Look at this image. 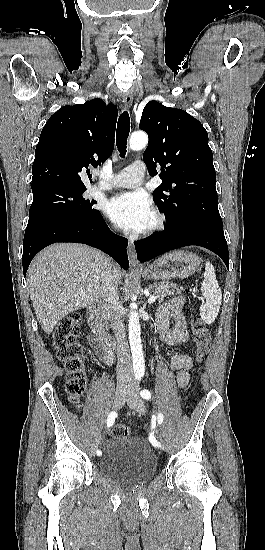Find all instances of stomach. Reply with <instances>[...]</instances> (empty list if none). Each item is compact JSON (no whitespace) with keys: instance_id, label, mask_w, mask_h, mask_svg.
I'll return each instance as SVG.
<instances>
[{"instance_id":"1","label":"stomach","mask_w":265,"mask_h":550,"mask_svg":"<svg viewBox=\"0 0 265 550\" xmlns=\"http://www.w3.org/2000/svg\"><path fill=\"white\" fill-rule=\"evenodd\" d=\"M200 259L188 251H173L159 257L145 267L140 274L146 279L168 280L172 278L185 279L196 272Z\"/></svg>"}]
</instances>
